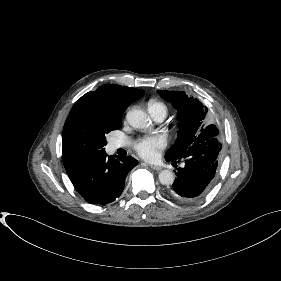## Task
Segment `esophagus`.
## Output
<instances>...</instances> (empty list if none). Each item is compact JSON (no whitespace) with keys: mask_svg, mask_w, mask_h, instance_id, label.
<instances>
[{"mask_svg":"<svg viewBox=\"0 0 281 281\" xmlns=\"http://www.w3.org/2000/svg\"><path fill=\"white\" fill-rule=\"evenodd\" d=\"M149 166H150V168H152V169H154V170H157V171L162 170V167L157 166V165H149Z\"/></svg>","mask_w":281,"mask_h":281,"instance_id":"esophagus-1","label":"esophagus"}]
</instances>
